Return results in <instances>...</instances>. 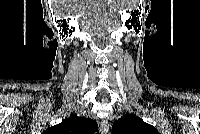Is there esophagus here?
Instances as JSON below:
<instances>
[{
	"label": "esophagus",
	"instance_id": "1",
	"mask_svg": "<svg viewBox=\"0 0 200 134\" xmlns=\"http://www.w3.org/2000/svg\"><path fill=\"white\" fill-rule=\"evenodd\" d=\"M99 131L101 134H107L109 131V123L107 120H102L100 127H99Z\"/></svg>",
	"mask_w": 200,
	"mask_h": 134
}]
</instances>
